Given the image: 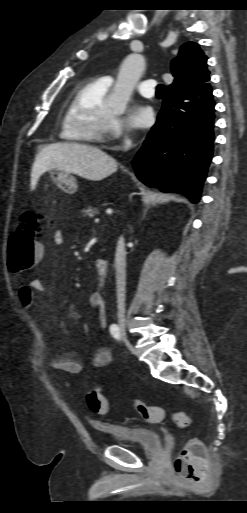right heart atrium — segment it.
<instances>
[{"instance_id": "right-heart-atrium-1", "label": "right heart atrium", "mask_w": 247, "mask_h": 513, "mask_svg": "<svg viewBox=\"0 0 247 513\" xmlns=\"http://www.w3.org/2000/svg\"><path fill=\"white\" fill-rule=\"evenodd\" d=\"M107 131L115 138H127L130 133L129 126L117 117L110 119Z\"/></svg>"}]
</instances>
